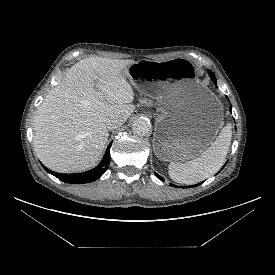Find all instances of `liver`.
Masks as SVG:
<instances>
[{"mask_svg": "<svg viewBox=\"0 0 275 275\" xmlns=\"http://www.w3.org/2000/svg\"><path fill=\"white\" fill-rule=\"evenodd\" d=\"M133 60L90 57L73 65L39 106L34 117V149L48 168L77 172L94 165L109 137L106 121H126L134 112V92L125 70Z\"/></svg>", "mask_w": 275, "mask_h": 275, "instance_id": "1", "label": "liver"}]
</instances>
